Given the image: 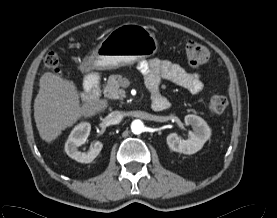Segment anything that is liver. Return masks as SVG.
Listing matches in <instances>:
<instances>
[{
  "instance_id": "6515ba94",
  "label": "liver",
  "mask_w": 277,
  "mask_h": 218,
  "mask_svg": "<svg viewBox=\"0 0 277 218\" xmlns=\"http://www.w3.org/2000/svg\"><path fill=\"white\" fill-rule=\"evenodd\" d=\"M34 100V119L42 140L51 143L81 117H91L107 108L106 100L80 104L73 81L53 73L42 75Z\"/></svg>"
}]
</instances>
